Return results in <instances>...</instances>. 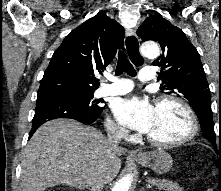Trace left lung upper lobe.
<instances>
[{"mask_svg": "<svg viewBox=\"0 0 221 191\" xmlns=\"http://www.w3.org/2000/svg\"><path fill=\"white\" fill-rule=\"evenodd\" d=\"M143 41L153 40L162 48V55L153 65L161 67L160 87L166 94H175L186 100L196 112L202 135L217 149L221 136L214 132L211 96L203 65L196 48L188 41L181 29L161 16H150L137 30Z\"/></svg>", "mask_w": 221, "mask_h": 191, "instance_id": "1", "label": "left lung upper lobe"}]
</instances>
